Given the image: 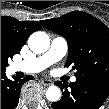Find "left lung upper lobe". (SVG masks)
<instances>
[{"label": "left lung upper lobe", "instance_id": "5c2ea615", "mask_svg": "<svg viewBox=\"0 0 109 109\" xmlns=\"http://www.w3.org/2000/svg\"><path fill=\"white\" fill-rule=\"evenodd\" d=\"M41 24L66 38L69 50L65 66H72L76 77L97 75L109 79V29L99 19L73 11Z\"/></svg>", "mask_w": 109, "mask_h": 109}]
</instances>
